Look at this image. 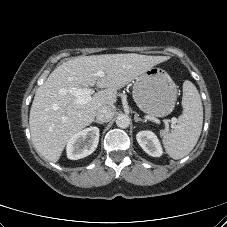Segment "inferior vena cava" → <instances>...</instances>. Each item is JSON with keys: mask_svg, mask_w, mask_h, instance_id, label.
<instances>
[{"mask_svg": "<svg viewBox=\"0 0 227 227\" xmlns=\"http://www.w3.org/2000/svg\"><path fill=\"white\" fill-rule=\"evenodd\" d=\"M116 112V107L114 105H103L101 106L97 113V119L102 122H109Z\"/></svg>", "mask_w": 227, "mask_h": 227, "instance_id": "1", "label": "inferior vena cava"}]
</instances>
